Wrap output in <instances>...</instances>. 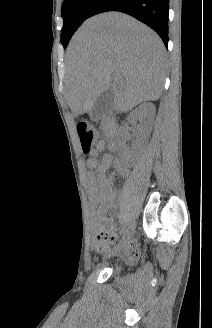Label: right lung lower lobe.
<instances>
[{
    "label": "right lung lower lobe",
    "instance_id": "obj_1",
    "mask_svg": "<svg viewBox=\"0 0 212 328\" xmlns=\"http://www.w3.org/2000/svg\"><path fill=\"white\" fill-rule=\"evenodd\" d=\"M169 0H98L89 17L107 11H120L145 23L168 45Z\"/></svg>",
    "mask_w": 212,
    "mask_h": 328
}]
</instances>
